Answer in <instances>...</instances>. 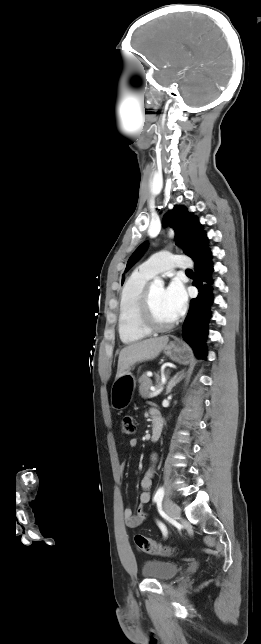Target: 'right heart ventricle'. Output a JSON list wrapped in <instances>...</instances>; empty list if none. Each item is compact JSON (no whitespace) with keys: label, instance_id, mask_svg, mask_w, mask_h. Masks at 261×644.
Segmentation results:
<instances>
[{"label":"right heart ventricle","instance_id":"e07e8e85","mask_svg":"<svg viewBox=\"0 0 261 644\" xmlns=\"http://www.w3.org/2000/svg\"><path fill=\"white\" fill-rule=\"evenodd\" d=\"M151 277L140 270L133 272L124 283L119 301L118 333L124 344H133L146 338L150 332L139 323V302Z\"/></svg>","mask_w":261,"mask_h":644}]
</instances>
